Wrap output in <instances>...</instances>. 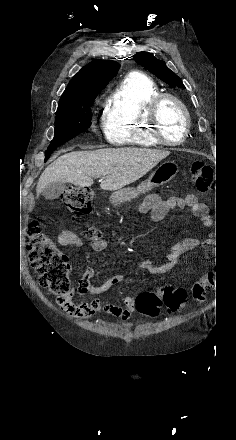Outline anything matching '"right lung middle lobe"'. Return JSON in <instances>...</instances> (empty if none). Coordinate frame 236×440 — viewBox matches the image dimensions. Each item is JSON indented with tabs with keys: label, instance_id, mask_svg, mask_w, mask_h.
I'll list each match as a JSON object with an SVG mask.
<instances>
[{
	"label": "right lung middle lobe",
	"instance_id": "obj_1",
	"mask_svg": "<svg viewBox=\"0 0 236 440\" xmlns=\"http://www.w3.org/2000/svg\"><path fill=\"white\" fill-rule=\"evenodd\" d=\"M97 94L98 92L59 103L55 118L54 139L48 149L57 148L90 127V107Z\"/></svg>",
	"mask_w": 236,
	"mask_h": 440
}]
</instances>
